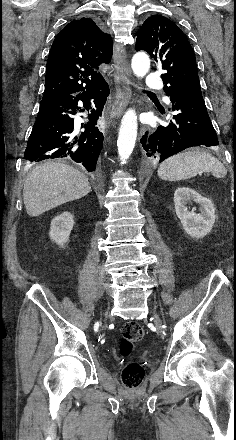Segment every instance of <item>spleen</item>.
<instances>
[{
  "label": "spleen",
  "instance_id": "spleen-1",
  "mask_svg": "<svg viewBox=\"0 0 236 440\" xmlns=\"http://www.w3.org/2000/svg\"><path fill=\"white\" fill-rule=\"evenodd\" d=\"M200 172L212 173L217 178L225 177L224 165L206 151L190 149L163 161L158 176L166 181H180L197 176Z\"/></svg>",
  "mask_w": 236,
  "mask_h": 440
}]
</instances>
